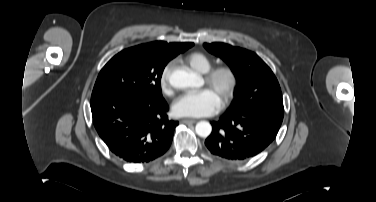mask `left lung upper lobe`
I'll return each instance as SVG.
<instances>
[{"label": "left lung upper lobe", "instance_id": "obj_1", "mask_svg": "<svg viewBox=\"0 0 376 202\" xmlns=\"http://www.w3.org/2000/svg\"><path fill=\"white\" fill-rule=\"evenodd\" d=\"M204 47L229 64L239 83L237 99L229 112L242 114L250 109H261L283 117L279 83L255 53L224 43H204Z\"/></svg>", "mask_w": 376, "mask_h": 202}]
</instances>
